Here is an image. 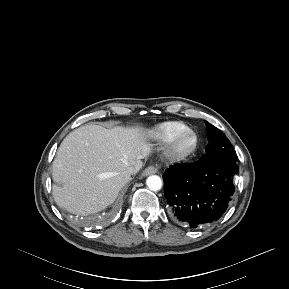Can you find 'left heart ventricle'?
<instances>
[{
  "instance_id": "obj_1",
  "label": "left heart ventricle",
  "mask_w": 289,
  "mask_h": 289,
  "mask_svg": "<svg viewBox=\"0 0 289 289\" xmlns=\"http://www.w3.org/2000/svg\"><path fill=\"white\" fill-rule=\"evenodd\" d=\"M192 144H193V138L190 137V136L186 137L181 142V148L188 149V148H190L192 146Z\"/></svg>"
}]
</instances>
